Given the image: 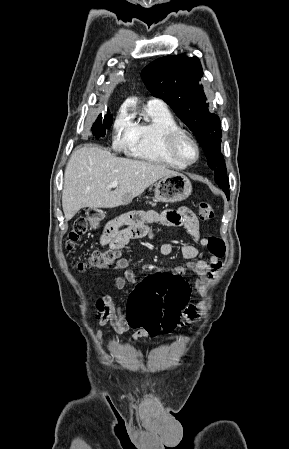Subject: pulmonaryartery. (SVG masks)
Returning a JSON list of instances; mask_svg holds the SVG:
<instances>
[{"label": "pulmonary artery", "mask_w": 289, "mask_h": 449, "mask_svg": "<svg viewBox=\"0 0 289 449\" xmlns=\"http://www.w3.org/2000/svg\"><path fill=\"white\" fill-rule=\"evenodd\" d=\"M148 104L155 105V106H165V103L157 98H152L148 101Z\"/></svg>", "instance_id": "e3ab8cb5"}]
</instances>
